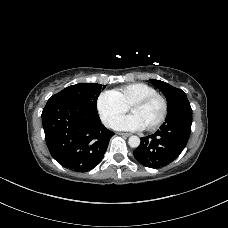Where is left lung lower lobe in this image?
<instances>
[{"label":"left lung lower lobe","mask_w":228,"mask_h":228,"mask_svg":"<svg viewBox=\"0 0 228 228\" xmlns=\"http://www.w3.org/2000/svg\"><path fill=\"white\" fill-rule=\"evenodd\" d=\"M192 124L189 101L183 102L179 113L168 112L165 123L155 134L141 138L133 151L137 161L150 168H161L174 161L185 148Z\"/></svg>","instance_id":"obj_1"}]
</instances>
